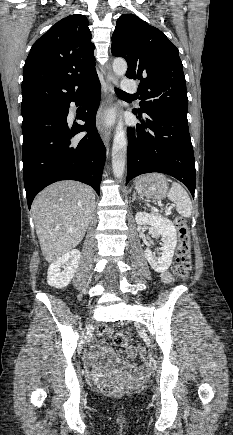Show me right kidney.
<instances>
[{"label":"right kidney","mask_w":233,"mask_h":435,"mask_svg":"<svg viewBox=\"0 0 233 435\" xmlns=\"http://www.w3.org/2000/svg\"><path fill=\"white\" fill-rule=\"evenodd\" d=\"M79 260L80 251L77 249L59 257L48 268L47 283L55 288H64L69 285L78 268Z\"/></svg>","instance_id":"right-kidney-1"}]
</instances>
